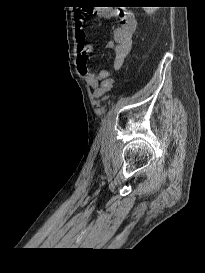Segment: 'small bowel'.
<instances>
[{
    "label": "small bowel",
    "mask_w": 205,
    "mask_h": 273,
    "mask_svg": "<svg viewBox=\"0 0 205 273\" xmlns=\"http://www.w3.org/2000/svg\"><path fill=\"white\" fill-rule=\"evenodd\" d=\"M115 14L118 15L120 24L115 28L113 40L108 43L107 47L113 50V66L118 70L131 51L137 20L134 14L127 10L116 11L111 8H102L97 12V16L100 18H111ZM85 18V14L81 12L75 13V38L78 45L77 67L88 85L97 90L99 84L109 78L111 74L107 70L93 73L89 69L88 59L93 52V46L86 42Z\"/></svg>",
    "instance_id": "c3829d8e"
}]
</instances>
